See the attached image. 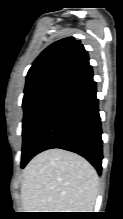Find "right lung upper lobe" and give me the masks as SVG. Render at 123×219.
<instances>
[{
  "instance_id": "cb5924a9",
  "label": "right lung upper lobe",
  "mask_w": 123,
  "mask_h": 219,
  "mask_svg": "<svg viewBox=\"0 0 123 219\" xmlns=\"http://www.w3.org/2000/svg\"><path fill=\"white\" fill-rule=\"evenodd\" d=\"M87 51L79 40L67 37L48 46L34 61L25 91L54 80H72L90 69Z\"/></svg>"
}]
</instances>
